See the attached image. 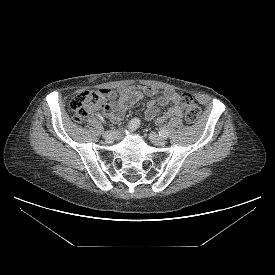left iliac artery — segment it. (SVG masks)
Instances as JSON below:
<instances>
[{"label": "left iliac artery", "mask_w": 275, "mask_h": 275, "mask_svg": "<svg viewBox=\"0 0 275 275\" xmlns=\"http://www.w3.org/2000/svg\"><path fill=\"white\" fill-rule=\"evenodd\" d=\"M159 135L162 136V137H164V138H166L169 135V131L166 128H162L159 131Z\"/></svg>", "instance_id": "44dca946"}]
</instances>
